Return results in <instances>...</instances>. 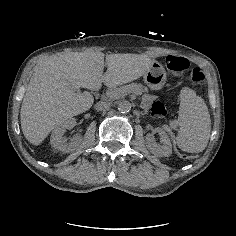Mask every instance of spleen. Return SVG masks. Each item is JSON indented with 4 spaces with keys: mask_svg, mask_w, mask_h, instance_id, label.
<instances>
[{
    "mask_svg": "<svg viewBox=\"0 0 236 236\" xmlns=\"http://www.w3.org/2000/svg\"><path fill=\"white\" fill-rule=\"evenodd\" d=\"M178 121V147L189 153L202 152L210 138V114L204 100L188 87L180 92Z\"/></svg>",
    "mask_w": 236,
    "mask_h": 236,
    "instance_id": "spleen-1",
    "label": "spleen"
}]
</instances>
